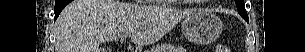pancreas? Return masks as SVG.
I'll return each instance as SVG.
<instances>
[{
    "label": "pancreas",
    "instance_id": "obj_1",
    "mask_svg": "<svg viewBox=\"0 0 305 52\" xmlns=\"http://www.w3.org/2000/svg\"><path fill=\"white\" fill-rule=\"evenodd\" d=\"M178 47H175L174 45L171 44H165L161 45L160 47H156L153 51L154 52H176L178 51Z\"/></svg>",
    "mask_w": 305,
    "mask_h": 52
}]
</instances>
